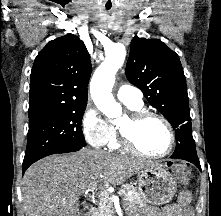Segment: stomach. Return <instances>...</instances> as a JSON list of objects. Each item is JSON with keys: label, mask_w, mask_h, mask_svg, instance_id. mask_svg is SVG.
I'll return each mask as SVG.
<instances>
[{"label": "stomach", "mask_w": 221, "mask_h": 216, "mask_svg": "<svg viewBox=\"0 0 221 216\" xmlns=\"http://www.w3.org/2000/svg\"><path fill=\"white\" fill-rule=\"evenodd\" d=\"M138 192L146 203L164 205L169 203L177 190L175 178L160 165H153L137 173Z\"/></svg>", "instance_id": "stomach-1"}]
</instances>
